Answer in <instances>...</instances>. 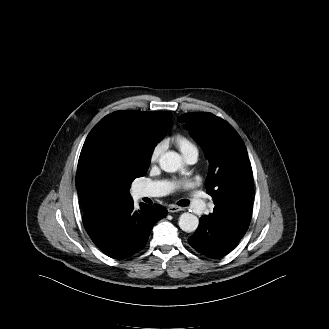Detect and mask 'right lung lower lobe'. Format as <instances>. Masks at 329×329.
<instances>
[{"instance_id": "1", "label": "right lung lower lobe", "mask_w": 329, "mask_h": 329, "mask_svg": "<svg viewBox=\"0 0 329 329\" xmlns=\"http://www.w3.org/2000/svg\"><path fill=\"white\" fill-rule=\"evenodd\" d=\"M141 207L134 210L132 197L104 201L84 211L83 223L93 242L109 257H128L145 246L153 225L167 215L159 204Z\"/></svg>"}]
</instances>
